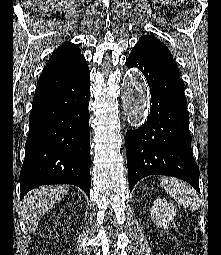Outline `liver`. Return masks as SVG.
Instances as JSON below:
<instances>
[{
    "mask_svg": "<svg viewBox=\"0 0 221 255\" xmlns=\"http://www.w3.org/2000/svg\"><path fill=\"white\" fill-rule=\"evenodd\" d=\"M67 193V186L41 187L29 192L21 207V216L28 230L34 233L41 217Z\"/></svg>",
    "mask_w": 221,
    "mask_h": 255,
    "instance_id": "liver-1",
    "label": "liver"
}]
</instances>
